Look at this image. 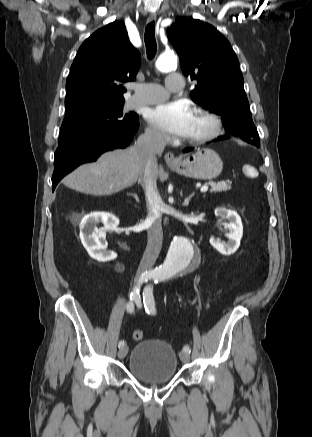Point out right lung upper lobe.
<instances>
[{
    "label": "right lung upper lobe",
    "mask_w": 312,
    "mask_h": 437,
    "mask_svg": "<svg viewBox=\"0 0 312 437\" xmlns=\"http://www.w3.org/2000/svg\"><path fill=\"white\" fill-rule=\"evenodd\" d=\"M140 62L123 23L114 21L97 30L81 45L71 65L65 106L124 102L123 83L135 80Z\"/></svg>",
    "instance_id": "1"
}]
</instances>
